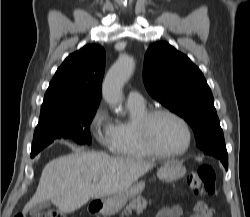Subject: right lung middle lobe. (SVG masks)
Returning a JSON list of instances; mask_svg holds the SVG:
<instances>
[{
	"instance_id": "obj_1",
	"label": "right lung middle lobe",
	"mask_w": 250,
	"mask_h": 217,
	"mask_svg": "<svg viewBox=\"0 0 250 217\" xmlns=\"http://www.w3.org/2000/svg\"><path fill=\"white\" fill-rule=\"evenodd\" d=\"M97 107L69 109L40 116L35 128L31 157H34L55 139L71 138L84 144L91 143L89 125Z\"/></svg>"
}]
</instances>
